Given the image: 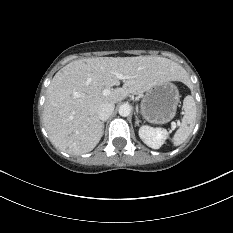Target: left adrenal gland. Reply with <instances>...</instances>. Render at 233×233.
Returning <instances> with one entry per match:
<instances>
[{
    "label": "left adrenal gland",
    "instance_id": "left-adrenal-gland-1",
    "mask_svg": "<svg viewBox=\"0 0 233 233\" xmlns=\"http://www.w3.org/2000/svg\"><path fill=\"white\" fill-rule=\"evenodd\" d=\"M135 126H138L139 125V123L141 122L140 120H139V118H138V116L135 114Z\"/></svg>",
    "mask_w": 233,
    "mask_h": 233
}]
</instances>
